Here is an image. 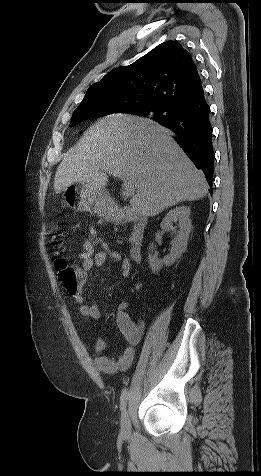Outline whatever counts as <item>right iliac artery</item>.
Segmentation results:
<instances>
[{"label":"right iliac artery","instance_id":"1","mask_svg":"<svg viewBox=\"0 0 261 476\" xmlns=\"http://www.w3.org/2000/svg\"><path fill=\"white\" fill-rule=\"evenodd\" d=\"M127 400H128V391L127 388L125 387L122 390L121 397H120V408L121 410H125V407L127 405Z\"/></svg>","mask_w":261,"mask_h":476}]
</instances>
